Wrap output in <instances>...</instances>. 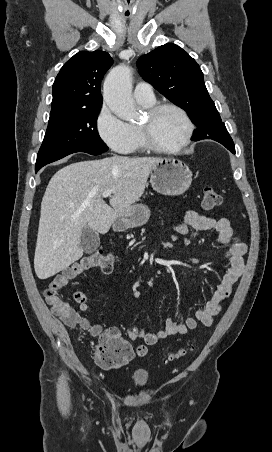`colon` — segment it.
<instances>
[{
	"label": "colon",
	"mask_w": 272,
	"mask_h": 452,
	"mask_svg": "<svg viewBox=\"0 0 272 452\" xmlns=\"http://www.w3.org/2000/svg\"><path fill=\"white\" fill-rule=\"evenodd\" d=\"M222 204V196L212 187H206L202 191V207L212 211ZM96 270L102 275H110L114 270V258L112 255L94 252L83 256L78 261L59 273L44 291L47 304L57 316L70 315L72 308L66 303L60 290L70 282L83 275L87 271ZM191 347L181 348L171 353L169 361L180 360L188 355ZM147 352L143 346H138L135 353L144 355ZM130 358V348L121 338L101 335L94 359L97 365L105 369H116L124 366Z\"/></svg>",
	"instance_id": "colon-1"
}]
</instances>
